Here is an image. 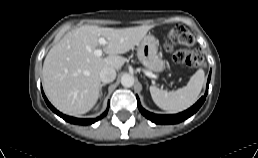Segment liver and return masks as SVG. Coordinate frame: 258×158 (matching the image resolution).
I'll use <instances>...</instances> for the list:
<instances>
[{"label": "liver", "instance_id": "liver-1", "mask_svg": "<svg viewBox=\"0 0 258 158\" xmlns=\"http://www.w3.org/2000/svg\"><path fill=\"white\" fill-rule=\"evenodd\" d=\"M150 26L103 28L84 25L69 31L48 52L43 64V85L50 102L61 112L79 116L88 112L100 96L102 68L119 70L124 54L138 45ZM104 37L107 57L94 55Z\"/></svg>", "mask_w": 258, "mask_h": 158}]
</instances>
